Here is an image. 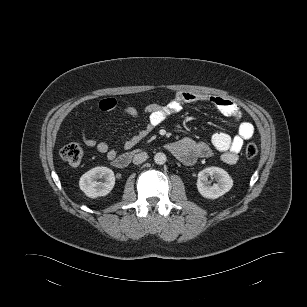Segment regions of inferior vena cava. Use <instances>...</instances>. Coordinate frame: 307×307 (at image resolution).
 Here are the masks:
<instances>
[{
    "label": "inferior vena cava",
    "instance_id": "obj_1",
    "mask_svg": "<svg viewBox=\"0 0 307 307\" xmlns=\"http://www.w3.org/2000/svg\"><path fill=\"white\" fill-rule=\"evenodd\" d=\"M147 157H148V155H147L146 152L138 153L134 156L133 163L136 164V165L141 164L147 159Z\"/></svg>",
    "mask_w": 307,
    "mask_h": 307
}]
</instances>
